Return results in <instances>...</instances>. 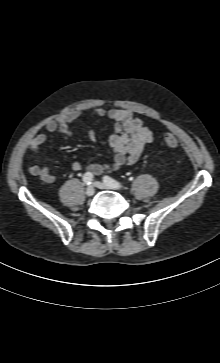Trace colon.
Wrapping results in <instances>:
<instances>
[{
	"instance_id": "colon-1",
	"label": "colon",
	"mask_w": 220,
	"mask_h": 363,
	"mask_svg": "<svg viewBox=\"0 0 220 363\" xmlns=\"http://www.w3.org/2000/svg\"><path fill=\"white\" fill-rule=\"evenodd\" d=\"M165 144L170 148H175L178 145L176 136L171 132H166L163 136Z\"/></svg>"
}]
</instances>
